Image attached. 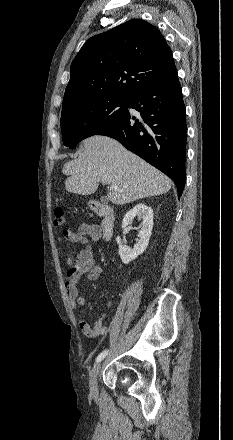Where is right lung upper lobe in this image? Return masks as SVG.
<instances>
[{
  "mask_svg": "<svg viewBox=\"0 0 233 440\" xmlns=\"http://www.w3.org/2000/svg\"><path fill=\"white\" fill-rule=\"evenodd\" d=\"M163 35L133 19L91 37L71 64L63 107L92 98L129 99L175 70Z\"/></svg>",
  "mask_w": 233,
  "mask_h": 440,
  "instance_id": "right-lung-upper-lobe-1",
  "label": "right lung upper lobe"
}]
</instances>
